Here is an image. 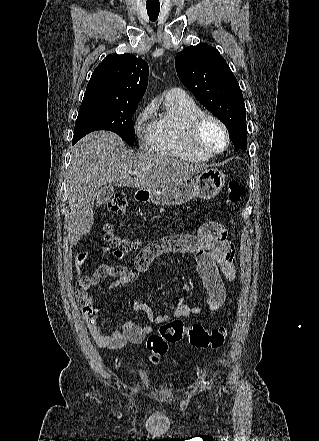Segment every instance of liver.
<instances>
[{
    "label": "liver",
    "instance_id": "liver-1",
    "mask_svg": "<svg viewBox=\"0 0 319 441\" xmlns=\"http://www.w3.org/2000/svg\"><path fill=\"white\" fill-rule=\"evenodd\" d=\"M208 167L207 164L152 153H130L123 140L108 131L88 134L71 149L67 199L68 236L72 245L93 226L94 202L102 185L155 190L174 186ZM139 170L134 178L131 174Z\"/></svg>",
    "mask_w": 319,
    "mask_h": 441
}]
</instances>
